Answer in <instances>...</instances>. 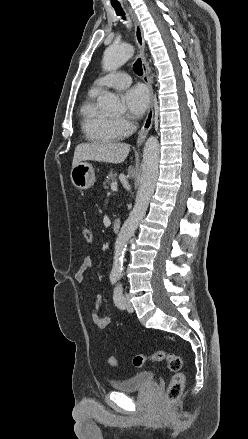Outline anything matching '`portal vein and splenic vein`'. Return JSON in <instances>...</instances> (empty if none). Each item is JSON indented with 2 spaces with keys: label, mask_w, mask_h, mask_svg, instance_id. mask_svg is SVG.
<instances>
[{
  "label": "portal vein and splenic vein",
  "mask_w": 248,
  "mask_h": 439,
  "mask_svg": "<svg viewBox=\"0 0 248 439\" xmlns=\"http://www.w3.org/2000/svg\"><path fill=\"white\" fill-rule=\"evenodd\" d=\"M111 190H112V191H117V190H118V184H117V182H113V183L111 184Z\"/></svg>",
  "instance_id": "1"
}]
</instances>
